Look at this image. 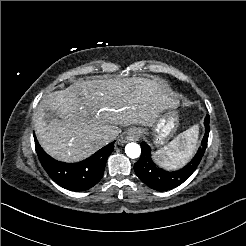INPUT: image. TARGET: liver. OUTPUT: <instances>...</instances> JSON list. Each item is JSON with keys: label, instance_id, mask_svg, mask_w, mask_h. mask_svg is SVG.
<instances>
[{"label": "liver", "instance_id": "obj_1", "mask_svg": "<svg viewBox=\"0 0 246 246\" xmlns=\"http://www.w3.org/2000/svg\"><path fill=\"white\" fill-rule=\"evenodd\" d=\"M166 97L154 81L87 80L53 94L46 110L37 111L35 133L42 148L65 162L87 158L112 141L108 135L120 126H151ZM60 119H57V118Z\"/></svg>", "mask_w": 246, "mask_h": 246}]
</instances>
